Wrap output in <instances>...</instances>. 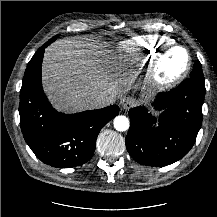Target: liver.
Returning a JSON list of instances; mask_svg holds the SVG:
<instances>
[{
	"label": "liver",
	"mask_w": 217,
	"mask_h": 217,
	"mask_svg": "<svg viewBox=\"0 0 217 217\" xmlns=\"http://www.w3.org/2000/svg\"><path fill=\"white\" fill-rule=\"evenodd\" d=\"M43 88L56 109L68 113L90 109L86 98L113 97L131 89L135 77L95 42L69 37L51 44L42 65Z\"/></svg>",
	"instance_id": "1"
}]
</instances>
